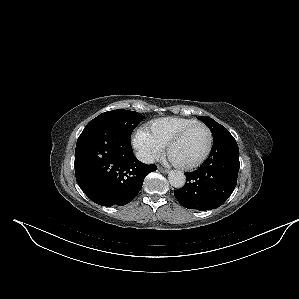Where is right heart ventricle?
<instances>
[{
    "label": "right heart ventricle",
    "instance_id": "e07e8e85",
    "mask_svg": "<svg viewBox=\"0 0 299 299\" xmlns=\"http://www.w3.org/2000/svg\"><path fill=\"white\" fill-rule=\"evenodd\" d=\"M195 122H197L195 119L190 118L162 117L150 121L145 129L162 146H165L175 134Z\"/></svg>",
    "mask_w": 299,
    "mask_h": 299
}]
</instances>
